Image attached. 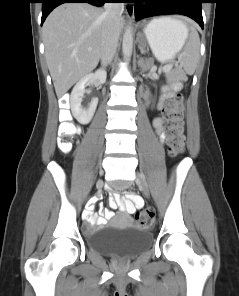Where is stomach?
<instances>
[{"mask_svg":"<svg viewBox=\"0 0 239 296\" xmlns=\"http://www.w3.org/2000/svg\"><path fill=\"white\" fill-rule=\"evenodd\" d=\"M140 37H147L155 57L159 61H169L181 50L187 33L185 26L174 19L162 17L153 19L143 29Z\"/></svg>","mask_w":239,"mask_h":296,"instance_id":"stomach-1","label":"stomach"}]
</instances>
